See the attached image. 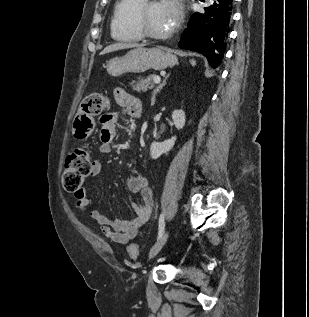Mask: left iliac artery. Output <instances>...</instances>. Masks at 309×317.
Here are the masks:
<instances>
[{"instance_id":"44dca946","label":"left iliac artery","mask_w":309,"mask_h":317,"mask_svg":"<svg viewBox=\"0 0 309 317\" xmlns=\"http://www.w3.org/2000/svg\"><path fill=\"white\" fill-rule=\"evenodd\" d=\"M164 230H165L164 214H161L159 217V231H158L157 239H159L164 234Z\"/></svg>"}]
</instances>
